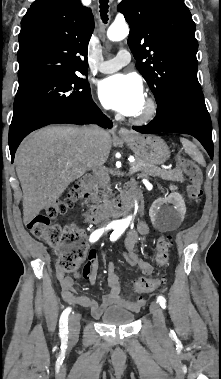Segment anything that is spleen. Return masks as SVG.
<instances>
[{
  "instance_id": "3e777b00",
  "label": "spleen",
  "mask_w": 221,
  "mask_h": 379,
  "mask_svg": "<svg viewBox=\"0 0 221 379\" xmlns=\"http://www.w3.org/2000/svg\"><path fill=\"white\" fill-rule=\"evenodd\" d=\"M180 141H181V143L183 145V148H184L185 152L189 156H191V158L193 160H195L198 164H200L202 166H205L204 157L200 153V151L197 149V147L192 142H190L189 140H187L185 138H181Z\"/></svg>"
}]
</instances>
